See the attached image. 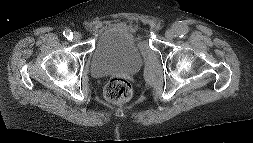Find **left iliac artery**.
<instances>
[{"label":"left iliac artery","instance_id":"obj_1","mask_svg":"<svg viewBox=\"0 0 253 143\" xmlns=\"http://www.w3.org/2000/svg\"><path fill=\"white\" fill-rule=\"evenodd\" d=\"M174 31H175V36L177 37H184L186 35V33L188 32L187 27L185 26H179V27H174Z\"/></svg>","mask_w":253,"mask_h":143}]
</instances>
